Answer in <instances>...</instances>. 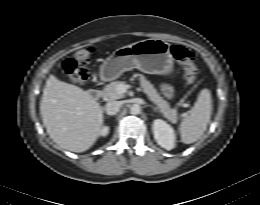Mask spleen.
<instances>
[{"mask_svg": "<svg viewBox=\"0 0 260 205\" xmlns=\"http://www.w3.org/2000/svg\"><path fill=\"white\" fill-rule=\"evenodd\" d=\"M212 113L211 93L208 89L200 91L198 99L179 126L181 141L191 144L197 141L207 129Z\"/></svg>", "mask_w": 260, "mask_h": 205, "instance_id": "obj_1", "label": "spleen"}]
</instances>
